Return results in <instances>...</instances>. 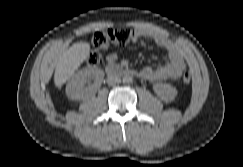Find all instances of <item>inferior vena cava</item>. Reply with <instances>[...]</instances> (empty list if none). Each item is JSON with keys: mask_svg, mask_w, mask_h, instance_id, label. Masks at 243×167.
Masks as SVG:
<instances>
[{"mask_svg": "<svg viewBox=\"0 0 243 167\" xmlns=\"http://www.w3.org/2000/svg\"><path fill=\"white\" fill-rule=\"evenodd\" d=\"M120 82H121V79L118 76H109L107 79V83L109 86H114L116 84H119Z\"/></svg>", "mask_w": 243, "mask_h": 167, "instance_id": "obj_1", "label": "inferior vena cava"}]
</instances>
